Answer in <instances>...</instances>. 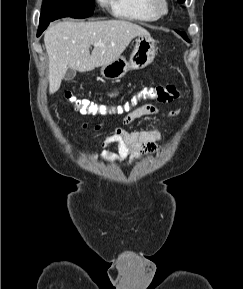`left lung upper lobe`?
Returning a JSON list of instances; mask_svg holds the SVG:
<instances>
[{"label":"left lung upper lobe","instance_id":"5c2ea615","mask_svg":"<svg viewBox=\"0 0 243 289\" xmlns=\"http://www.w3.org/2000/svg\"><path fill=\"white\" fill-rule=\"evenodd\" d=\"M180 3H183L185 0H178Z\"/></svg>","mask_w":243,"mask_h":289}]
</instances>
